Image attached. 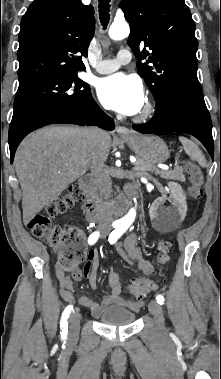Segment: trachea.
Masks as SVG:
<instances>
[{
    "mask_svg": "<svg viewBox=\"0 0 221 379\" xmlns=\"http://www.w3.org/2000/svg\"><path fill=\"white\" fill-rule=\"evenodd\" d=\"M110 0H99V18L103 26V29H106L109 20H110Z\"/></svg>",
    "mask_w": 221,
    "mask_h": 379,
    "instance_id": "1",
    "label": "trachea"
}]
</instances>
